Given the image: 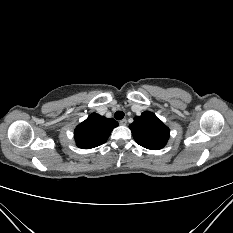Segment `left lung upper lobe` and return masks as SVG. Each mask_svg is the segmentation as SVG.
Returning <instances> with one entry per match:
<instances>
[{
    "label": "left lung upper lobe",
    "instance_id": "left-lung-upper-lobe-1",
    "mask_svg": "<svg viewBox=\"0 0 233 233\" xmlns=\"http://www.w3.org/2000/svg\"><path fill=\"white\" fill-rule=\"evenodd\" d=\"M129 128L135 141L144 148L159 150L163 148L170 136V130L152 112L145 111L136 116Z\"/></svg>",
    "mask_w": 233,
    "mask_h": 233
}]
</instances>
